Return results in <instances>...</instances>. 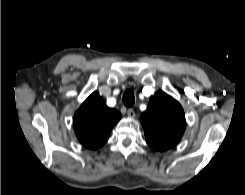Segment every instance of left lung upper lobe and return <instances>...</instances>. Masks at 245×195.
<instances>
[{
    "instance_id": "1",
    "label": "left lung upper lobe",
    "mask_w": 245,
    "mask_h": 195,
    "mask_svg": "<svg viewBox=\"0 0 245 195\" xmlns=\"http://www.w3.org/2000/svg\"><path fill=\"white\" fill-rule=\"evenodd\" d=\"M140 119L146 142L157 151L174 147L180 141L186 126L181 105L162 91L150 98Z\"/></svg>"
}]
</instances>
